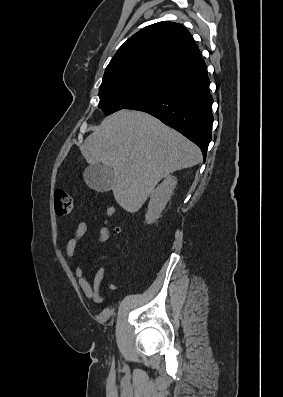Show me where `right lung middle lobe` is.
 <instances>
[{
  "label": "right lung middle lobe",
  "mask_w": 283,
  "mask_h": 397,
  "mask_svg": "<svg viewBox=\"0 0 283 397\" xmlns=\"http://www.w3.org/2000/svg\"><path fill=\"white\" fill-rule=\"evenodd\" d=\"M167 80L147 74H121L103 78L99 88L100 102L98 107L105 115L143 98L147 94L166 84Z\"/></svg>",
  "instance_id": "right-lung-middle-lobe-1"
}]
</instances>
